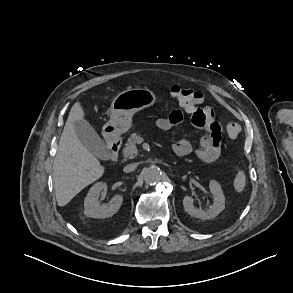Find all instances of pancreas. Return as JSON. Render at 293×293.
Returning a JSON list of instances; mask_svg holds the SVG:
<instances>
[{
	"label": "pancreas",
	"instance_id": "cf45deb5",
	"mask_svg": "<svg viewBox=\"0 0 293 293\" xmlns=\"http://www.w3.org/2000/svg\"><path fill=\"white\" fill-rule=\"evenodd\" d=\"M139 137V133H133L130 138H128L127 144L123 151V156L125 158L132 159L138 154L136 144Z\"/></svg>",
	"mask_w": 293,
	"mask_h": 293
}]
</instances>
